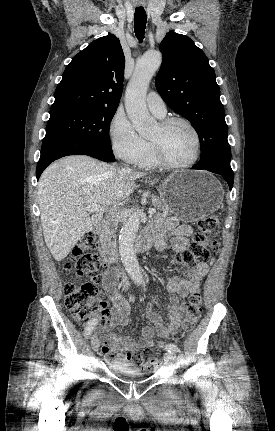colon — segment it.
<instances>
[{
  "instance_id": "obj_1",
  "label": "colon",
  "mask_w": 275,
  "mask_h": 431,
  "mask_svg": "<svg viewBox=\"0 0 275 431\" xmlns=\"http://www.w3.org/2000/svg\"><path fill=\"white\" fill-rule=\"evenodd\" d=\"M199 232L196 234L191 245L181 253L175 260L187 268H195L198 264L207 262L211 253H217L219 243L208 238L209 235L217 234L220 230L219 217L210 214L198 222ZM97 241L94 234L83 236L76 244L70 263L65 264L69 269L73 264L74 273L77 276H86L89 281L81 285L67 283L64 286V303L70 311L71 316L78 322H87L92 317L100 315L102 325L104 323L105 302L98 298L96 282L106 273V264L95 252ZM202 312V297L199 293H193L189 297L185 318L182 323V332L188 333L193 330ZM135 363L143 370L154 371L159 360L154 352L146 349L144 354L138 355Z\"/></svg>"
}]
</instances>
